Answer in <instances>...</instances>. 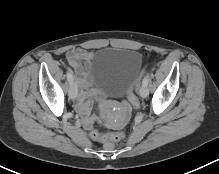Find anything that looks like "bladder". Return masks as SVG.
Returning <instances> with one entry per match:
<instances>
[{"mask_svg":"<svg viewBox=\"0 0 219 174\" xmlns=\"http://www.w3.org/2000/svg\"><path fill=\"white\" fill-rule=\"evenodd\" d=\"M139 51L110 47L96 52L88 63L92 84L103 94L122 95L142 66Z\"/></svg>","mask_w":219,"mask_h":174,"instance_id":"bladder-1","label":"bladder"}]
</instances>
